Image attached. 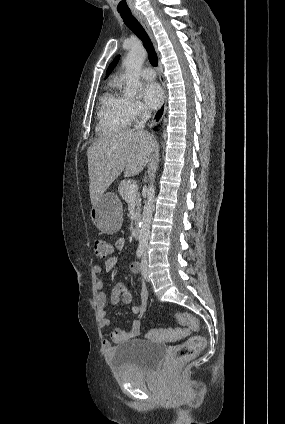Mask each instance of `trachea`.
I'll use <instances>...</instances> for the list:
<instances>
[{
  "label": "trachea",
  "mask_w": 285,
  "mask_h": 424,
  "mask_svg": "<svg viewBox=\"0 0 285 424\" xmlns=\"http://www.w3.org/2000/svg\"><path fill=\"white\" fill-rule=\"evenodd\" d=\"M125 23V25L133 32L135 33L143 42L144 46L146 47L148 53H149V61L151 65L157 66L158 65V58L157 54L154 50V47L152 45V42L147 35L145 29L142 27V25L137 21V19L132 15L130 10L127 11H118Z\"/></svg>",
  "instance_id": "trachea-1"
}]
</instances>
